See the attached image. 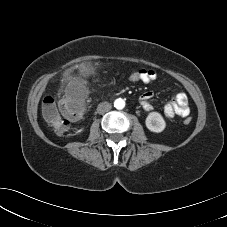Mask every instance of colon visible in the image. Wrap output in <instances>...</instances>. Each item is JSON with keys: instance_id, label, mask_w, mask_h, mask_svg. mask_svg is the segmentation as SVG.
<instances>
[{"instance_id": "colon-1", "label": "colon", "mask_w": 227, "mask_h": 227, "mask_svg": "<svg viewBox=\"0 0 227 227\" xmlns=\"http://www.w3.org/2000/svg\"><path fill=\"white\" fill-rule=\"evenodd\" d=\"M142 78L140 70L125 74V79L131 83L141 82ZM82 112V107L71 100L64 99L57 103L53 97L47 96L42 102V115L45 121L59 133L68 131L71 122L78 120L82 116ZM181 117L185 124L191 123L189 113H184Z\"/></svg>"}]
</instances>
